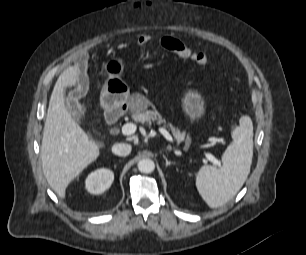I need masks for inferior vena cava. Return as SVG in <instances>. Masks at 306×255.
I'll return each instance as SVG.
<instances>
[{"mask_svg": "<svg viewBox=\"0 0 306 255\" xmlns=\"http://www.w3.org/2000/svg\"><path fill=\"white\" fill-rule=\"evenodd\" d=\"M132 146L125 143H116L112 146V152L118 156H127L131 153Z\"/></svg>", "mask_w": 306, "mask_h": 255, "instance_id": "1", "label": "inferior vena cava"}]
</instances>
